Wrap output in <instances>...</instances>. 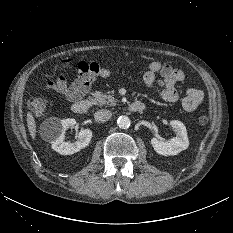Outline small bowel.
Here are the masks:
<instances>
[{
  "label": "small bowel",
  "instance_id": "1",
  "mask_svg": "<svg viewBox=\"0 0 233 233\" xmlns=\"http://www.w3.org/2000/svg\"><path fill=\"white\" fill-rule=\"evenodd\" d=\"M77 70L78 75L70 84L62 74H59L55 80L47 84L46 88L73 101L85 96L97 78H107L111 74L108 68L102 67L96 62L81 61L78 63ZM157 74H159L158 79ZM184 78V73L180 69L163 65L159 61H151L143 76L144 83L148 88H153L156 82L161 86L160 97L166 102H176L179 99L175 85L183 81ZM203 97L201 90L197 88L187 89L182 99L183 109L187 112L195 111L201 105Z\"/></svg>",
  "mask_w": 233,
  "mask_h": 233
}]
</instances>
